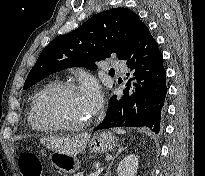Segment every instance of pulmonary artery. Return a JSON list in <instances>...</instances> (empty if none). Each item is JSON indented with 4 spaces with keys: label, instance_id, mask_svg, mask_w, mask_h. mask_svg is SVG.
Returning <instances> with one entry per match:
<instances>
[{
    "label": "pulmonary artery",
    "instance_id": "pulmonary-artery-1",
    "mask_svg": "<svg viewBox=\"0 0 205 176\" xmlns=\"http://www.w3.org/2000/svg\"><path fill=\"white\" fill-rule=\"evenodd\" d=\"M111 66L114 71H118L120 73H123L127 70V67L123 63H120L119 61L113 62Z\"/></svg>",
    "mask_w": 205,
    "mask_h": 176
}]
</instances>
